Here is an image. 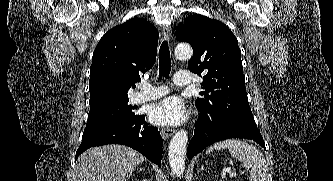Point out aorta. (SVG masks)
<instances>
[{
    "label": "aorta",
    "instance_id": "762f6f07",
    "mask_svg": "<svg viewBox=\"0 0 333 181\" xmlns=\"http://www.w3.org/2000/svg\"><path fill=\"white\" fill-rule=\"evenodd\" d=\"M193 54L192 48L188 44H179L175 48L177 59H189ZM188 134L185 130L175 133L169 145V164L172 172L181 176L185 170V155Z\"/></svg>",
    "mask_w": 333,
    "mask_h": 181
}]
</instances>
